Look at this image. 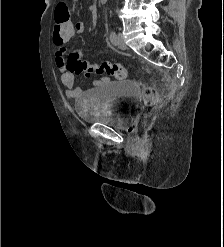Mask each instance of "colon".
I'll return each mask as SVG.
<instances>
[{
  "label": "colon",
  "mask_w": 224,
  "mask_h": 247,
  "mask_svg": "<svg viewBox=\"0 0 224 247\" xmlns=\"http://www.w3.org/2000/svg\"><path fill=\"white\" fill-rule=\"evenodd\" d=\"M53 34L62 39L71 40L74 37V23L71 19L70 10L64 2H60L55 8ZM67 67L69 71L75 74L85 73L88 76L92 74H106L115 76L118 79H124L127 75L125 68L120 64L109 62L90 64L82 59L79 51L70 54L67 61ZM142 98L145 104L151 106L157 101V92L153 87L144 85L142 88Z\"/></svg>",
  "instance_id": "5ec220e1"
}]
</instances>
